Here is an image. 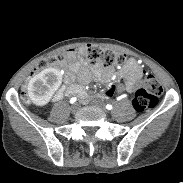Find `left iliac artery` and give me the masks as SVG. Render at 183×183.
<instances>
[{"label":"left iliac artery","instance_id":"left-iliac-artery-1","mask_svg":"<svg viewBox=\"0 0 183 183\" xmlns=\"http://www.w3.org/2000/svg\"><path fill=\"white\" fill-rule=\"evenodd\" d=\"M112 108H113L112 105H110V104L106 105V109L111 110Z\"/></svg>","mask_w":183,"mask_h":183}]
</instances>
